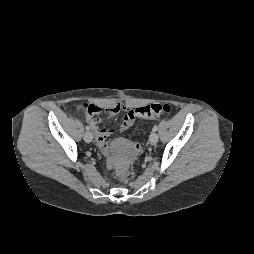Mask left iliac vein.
Segmentation results:
<instances>
[{
  "label": "left iliac vein",
  "instance_id": "4c4485c4",
  "mask_svg": "<svg viewBox=\"0 0 254 254\" xmlns=\"http://www.w3.org/2000/svg\"><path fill=\"white\" fill-rule=\"evenodd\" d=\"M158 139H159L158 134L155 131L151 132V134L149 136L150 144L151 145L157 144Z\"/></svg>",
  "mask_w": 254,
  "mask_h": 254
}]
</instances>
